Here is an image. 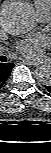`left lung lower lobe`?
Here are the masks:
<instances>
[{
	"instance_id": "left-lung-lower-lobe-1",
	"label": "left lung lower lobe",
	"mask_w": 51,
	"mask_h": 153,
	"mask_svg": "<svg viewBox=\"0 0 51 153\" xmlns=\"http://www.w3.org/2000/svg\"><path fill=\"white\" fill-rule=\"evenodd\" d=\"M46 89L51 93V85L45 86Z\"/></svg>"
}]
</instances>
